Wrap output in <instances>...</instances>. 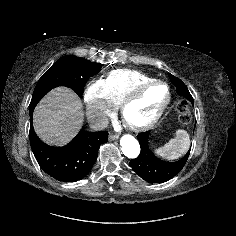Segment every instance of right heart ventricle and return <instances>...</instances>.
<instances>
[{
    "instance_id": "1",
    "label": "right heart ventricle",
    "mask_w": 236,
    "mask_h": 236,
    "mask_svg": "<svg viewBox=\"0 0 236 236\" xmlns=\"http://www.w3.org/2000/svg\"><path fill=\"white\" fill-rule=\"evenodd\" d=\"M153 79L138 70L126 68L112 70L104 78L107 97L114 106H118L135 87Z\"/></svg>"
}]
</instances>
